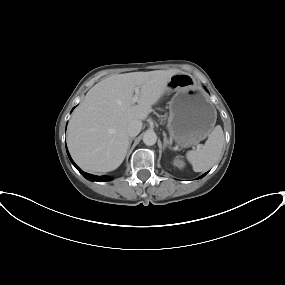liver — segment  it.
Masks as SVG:
<instances>
[{
  "instance_id": "obj_1",
  "label": "liver",
  "mask_w": 285,
  "mask_h": 285,
  "mask_svg": "<svg viewBox=\"0 0 285 285\" xmlns=\"http://www.w3.org/2000/svg\"><path fill=\"white\" fill-rule=\"evenodd\" d=\"M177 69L131 72L107 77L95 84L75 109L69 124L67 143L72 158L84 171L109 172L123 162L128 146L127 125L145 120L168 90ZM140 88L137 104L132 103Z\"/></svg>"
}]
</instances>
